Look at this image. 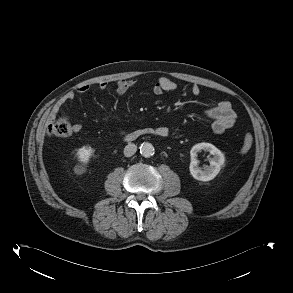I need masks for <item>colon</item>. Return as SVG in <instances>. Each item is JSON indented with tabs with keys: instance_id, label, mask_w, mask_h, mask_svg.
I'll use <instances>...</instances> for the list:
<instances>
[{
	"instance_id": "colon-1",
	"label": "colon",
	"mask_w": 293,
	"mask_h": 293,
	"mask_svg": "<svg viewBox=\"0 0 293 293\" xmlns=\"http://www.w3.org/2000/svg\"><path fill=\"white\" fill-rule=\"evenodd\" d=\"M49 133L55 136H67L71 133V125L67 116L60 115L54 117L49 125ZM253 144V138L250 134H246L243 139L242 146L240 148L241 154L249 152Z\"/></svg>"
}]
</instances>
